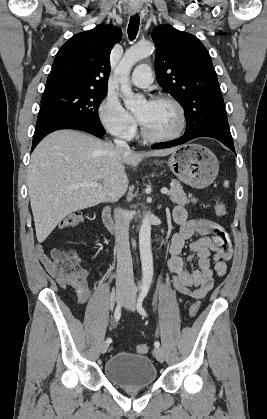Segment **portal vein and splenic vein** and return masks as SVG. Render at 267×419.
I'll return each mask as SVG.
<instances>
[{
    "label": "portal vein and splenic vein",
    "instance_id": "18ae733b",
    "mask_svg": "<svg viewBox=\"0 0 267 419\" xmlns=\"http://www.w3.org/2000/svg\"><path fill=\"white\" fill-rule=\"evenodd\" d=\"M80 186H83V187H98L99 184L97 182H83V183L80 184ZM161 193L162 194H168L169 190L167 188H162Z\"/></svg>",
    "mask_w": 267,
    "mask_h": 419
}]
</instances>
